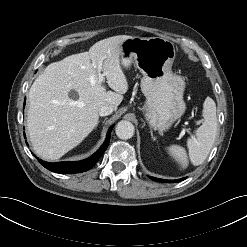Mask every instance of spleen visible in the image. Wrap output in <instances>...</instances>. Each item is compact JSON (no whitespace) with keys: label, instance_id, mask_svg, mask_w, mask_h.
<instances>
[{"label":"spleen","instance_id":"3e777b00","mask_svg":"<svg viewBox=\"0 0 247 247\" xmlns=\"http://www.w3.org/2000/svg\"><path fill=\"white\" fill-rule=\"evenodd\" d=\"M217 127L216 104L212 98L207 97L203 103V123L196 129V137L187 140L188 155L179 145H171L167 150L182 167H186L189 160L198 166L210 153L217 135Z\"/></svg>","mask_w":247,"mask_h":247}]
</instances>
